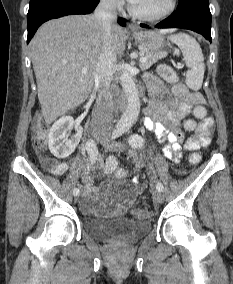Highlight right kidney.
<instances>
[{"label":"right kidney","instance_id":"right-kidney-1","mask_svg":"<svg viewBox=\"0 0 233 284\" xmlns=\"http://www.w3.org/2000/svg\"><path fill=\"white\" fill-rule=\"evenodd\" d=\"M73 127L76 133L69 137L68 131ZM82 132V127L75 125L71 116H63L52 125L49 131L48 146L50 152L57 158L68 157L78 146Z\"/></svg>","mask_w":233,"mask_h":284}]
</instances>
